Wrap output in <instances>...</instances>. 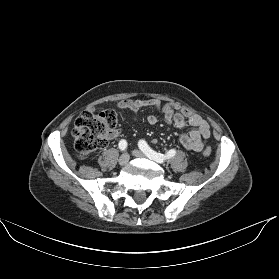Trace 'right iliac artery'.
Here are the masks:
<instances>
[{
    "mask_svg": "<svg viewBox=\"0 0 279 279\" xmlns=\"http://www.w3.org/2000/svg\"><path fill=\"white\" fill-rule=\"evenodd\" d=\"M127 148V142L126 140L122 139L120 142H119V149L121 151H125Z\"/></svg>",
    "mask_w": 279,
    "mask_h": 279,
    "instance_id": "right-iliac-artery-1",
    "label": "right iliac artery"
}]
</instances>
